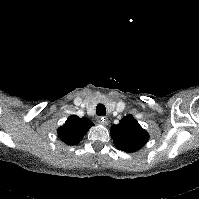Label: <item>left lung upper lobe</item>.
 I'll use <instances>...</instances> for the list:
<instances>
[{"label": "left lung upper lobe", "instance_id": "1", "mask_svg": "<svg viewBox=\"0 0 199 199\" xmlns=\"http://www.w3.org/2000/svg\"><path fill=\"white\" fill-rule=\"evenodd\" d=\"M110 135L116 148L125 152L137 151L149 139V134L132 115L125 116L119 124L113 125Z\"/></svg>", "mask_w": 199, "mask_h": 199}]
</instances>
